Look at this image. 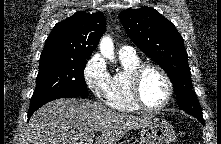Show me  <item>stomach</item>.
Listing matches in <instances>:
<instances>
[{
	"label": "stomach",
	"instance_id": "0dacf381",
	"mask_svg": "<svg viewBox=\"0 0 221 144\" xmlns=\"http://www.w3.org/2000/svg\"><path fill=\"white\" fill-rule=\"evenodd\" d=\"M175 130L171 123L161 117H153L141 127V144H173Z\"/></svg>",
	"mask_w": 221,
	"mask_h": 144
}]
</instances>
